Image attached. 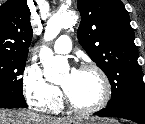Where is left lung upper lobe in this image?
<instances>
[{"label":"left lung upper lobe","mask_w":145,"mask_h":124,"mask_svg":"<svg viewBox=\"0 0 145 124\" xmlns=\"http://www.w3.org/2000/svg\"><path fill=\"white\" fill-rule=\"evenodd\" d=\"M77 7L81 13L79 43L111 83L107 107L126 103L145 106L138 49L124 4L120 0H78Z\"/></svg>","instance_id":"obj_1"}]
</instances>
